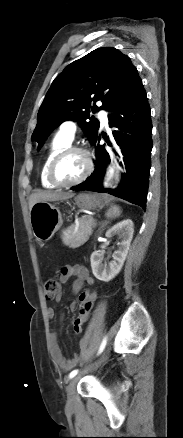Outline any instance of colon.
<instances>
[{
  "label": "colon",
  "instance_id": "1",
  "mask_svg": "<svg viewBox=\"0 0 183 438\" xmlns=\"http://www.w3.org/2000/svg\"><path fill=\"white\" fill-rule=\"evenodd\" d=\"M44 292L47 300L51 301L56 299V297L60 293L59 282L53 278L46 279L44 283ZM97 298L98 294L96 291L90 292L89 294H81L79 315L83 319H87L88 316H90L91 310Z\"/></svg>",
  "mask_w": 183,
  "mask_h": 438
}]
</instances>
